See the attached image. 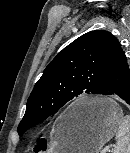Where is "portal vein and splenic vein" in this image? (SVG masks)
Returning <instances> with one entry per match:
<instances>
[{
  "instance_id": "obj_1",
  "label": "portal vein and splenic vein",
  "mask_w": 130,
  "mask_h": 153,
  "mask_svg": "<svg viewBox=\"0 0 130 153\" xmlns=\"http://www.w3.org/2000/svg\"><path fill=\"white\" fill-rule=\"evenodd\" d=\"M112 147H113V145L107 146V147L102 151V153H106L107 151H110V148H112Z\"/></svg>"
}]
</instances>
